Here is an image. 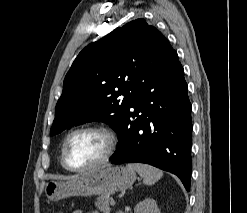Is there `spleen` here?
<instances>
[{
  "label": "spleen",
  "mask_w": 247,
  "mask_h": 213,
  "mask_svg": "<svg viewBox=\"0 0 247 213\" xmlns=\"http://www.w3.org/2000/svg\"><path fill=\"white\" fill-rule=\"evenodd\" d=\"M126 167L137 172L147 185L155 184L163 176L161 170L147 164H128Z\"/></svg>",
  "instance_id": "1"
}]
</instances>
